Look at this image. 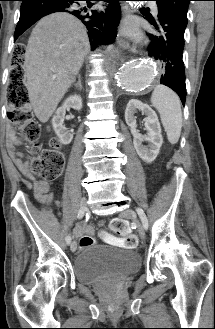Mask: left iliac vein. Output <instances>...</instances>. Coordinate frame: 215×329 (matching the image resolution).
Instances as JSON below:
<instances>
[{
    "label": "left iliac vein",
    "instance_id": "4c4485c4",
    "mask_svg": "<svg viewBox=\"0 0 215 329\" xmlns=\"http://www.w3.org/2000/svg\"><path fill=\"white\" fill-rule=\"evenodd\" d=\"M120 216L123 218H128V219H132L135 221L137 228H138V232L139 235L142 239H144L145 237V228L144 226L141 224V222L136 218L134 212L132 209H125L120 213Z\"/></svg>",
    "mask_w": 215,
    "mask_h": 329
}]
</instances>
